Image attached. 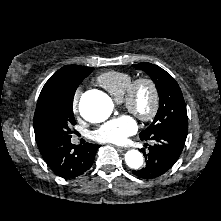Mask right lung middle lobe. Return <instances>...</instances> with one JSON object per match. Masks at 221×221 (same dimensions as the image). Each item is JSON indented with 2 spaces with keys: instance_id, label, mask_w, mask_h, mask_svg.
<instances>
[{
  "instance_id": "dd1d6c3e",
  "label": "right lung middle lobe",
  "mask_w": 221,
  "mask_h": 221,
  "mask_svg": "<svg viewBox=\"0 0 221 221\" xmlns=\"http://www.w3.org/2000/svg\"><path fill=\"white\" fill-rule=\"evenodd\" d=\"M92 71V67L74 71L67 83L50 90L38 99L34 114L37 143L71 139L70 127L76 123L72 108L74 94L79 84Z\"/></svg>"
}]
</instances>
